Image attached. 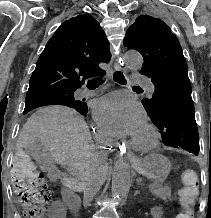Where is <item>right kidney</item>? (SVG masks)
I'll return each instance as SVG.
<instances>
[{"label":"right kidney","mask_w":211,"mask_h":218,"mask_svg":"<svg viewBox=\"0 0 211 218\" xmlns=\"http://www.w3.org/2000/svg\"><path fill=\"white\" fill-rule=\"evenodd\" d=\"M47 213L49 214V217L65 218L66 207L65 206H49Z\"/></svg>","instance_id":"obj_1"}]
</instances>
